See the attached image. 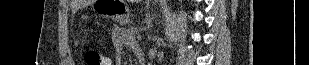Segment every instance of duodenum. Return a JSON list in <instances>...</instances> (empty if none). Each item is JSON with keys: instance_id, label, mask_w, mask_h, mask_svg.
Segmentation results:
<instances>
[{"instance_id": "duodenum-1", "label": "duodenum", "mask_w": 309, "mask_h": 65, "mask_svg": "<svg viewBox=\"0 0 309 65\" xmlns=\"http://www.w3.org/2000/svg\"><path fill=\"white\" fill-rule=\"evenodd\" d=\"M134 53H135V55H136V57H137V59L139 61V64L140 65H144V63H145V55H144V52H143L142 48L141 47L136 48Z\"/></svg>"}]
</instances>
